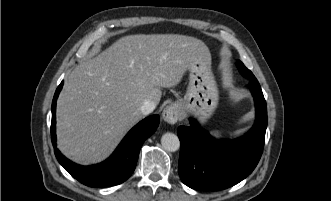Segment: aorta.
<instances>
[{"instance_id":"obj_1","label":"aorta","mask_w":331,"mask_h":201,"mask_svg":"<svg viewBox=\"0 0 331 201\" xmlns=\"http://www.w3.org/2000/svg\"><path fill=\"white\" fill-rule=\"evenodd\" d=\"M162 147L169 152H175L180 147V141L177 135L173 133H165L161 138Z\"/></svg>"}]
</instances>
